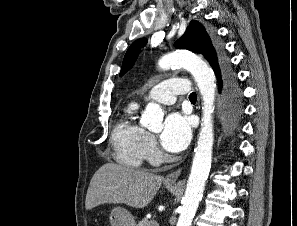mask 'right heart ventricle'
I'll use <instances>...</instances> for the list:
<instances>
[{
    "label": "right heart ventricle",
    "instance_id": "right-heart-ventricle-1",
    "mask_svg": "<svg viewBox=\"0 0 297 226\" xmlns=\"http://www.w3.org/2000/svg\"><path fill=\"white\" fill-rule=\"evenodd\" d=\"M137 106L129 104L112 131L111 139L114 146V157L122 165L139 167L145 159L147 131L136 122Z\"/></svg>",
    "mask_w": 297,
    "mask_h": 226
}]
</instances>
